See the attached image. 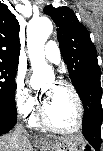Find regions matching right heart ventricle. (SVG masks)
Wrapping results in <instances>:
<instances>
[{"mask_svg": "<svg viewBox=\"0 0 103 151\" xmlns=\"http://www.w3.org/2000/svg\"><path fill=\"white\" fill-rule=\"evenodd\" d=\"M31 123H32L33 125H37V123H38V122H37V119H36V118H33L32 121H31Z\"/></svg>", "mask_w": 103, "mask_h": 151, "instance_id": "1", "label": "right heart ventricle"}]
</instances>
